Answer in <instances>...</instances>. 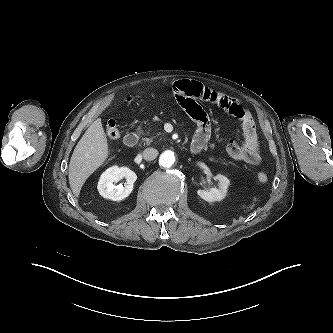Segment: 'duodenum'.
Instances as JSON below:
<instances>
[{
  "mask_svg": "<svg viewBox=\"0 0 333 333\" xmlns=\"http://www.w3.org/2000/svg\"><path fill=\"white\" fill-rule=\"evenodd\" d=\"M139 141V136L135 132H129L124 137V143L128 147H134L137 145ZM203 148V145L200 143H192L191 144V150L194 153L200 152Z\"/></svg>",
  "mask_w": 333,
  "mask_h": 333,
  "instance_id": "1",
  "label": "duodenum"
}]
</instances>
